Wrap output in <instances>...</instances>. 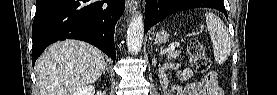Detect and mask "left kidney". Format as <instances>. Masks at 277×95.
I'll list each match as a JSON object with an SVG mask.
<instances>
[{
	"label": "left kidney",
	"mask_w": 277,
	"mask_h": 95,
	"mask_svg": "<svg viewBox=\"0 0 277 95\" xmlns=\"http://www.w3.org/2000/svg\"><path fill=\"white\" fill-rule=\"evenodd\" d=\"M165 70L166 68L165 67H162L160 70H159V74H158V77H159V80H160V84L161 86L166 89L167 86H168V79H167V76H166V73H165Z\"/></svg>",
	"instance_id": "1"
}]
</instances>
